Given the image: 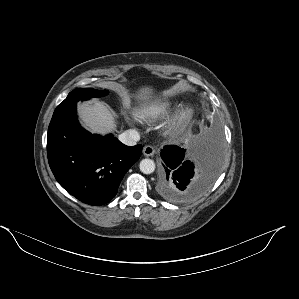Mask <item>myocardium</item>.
<instances>
[{"mask_svg":"<svg viewBox=\"0 0 299 299\" xmlns=\"http://www.w3.org/2000/svg\"><path fill=\"white\" fill-rule=\"evenodd\" d=\"M192 110L188 106L179 107L174 113H172L167 122L166 129L168 131H173L181 128L186 124V122L191 118Z\"/></svg>","mask_w":299,"mask_h":299,"instance_id":"f54148a6","label":"myocardium"}]
</instances>
